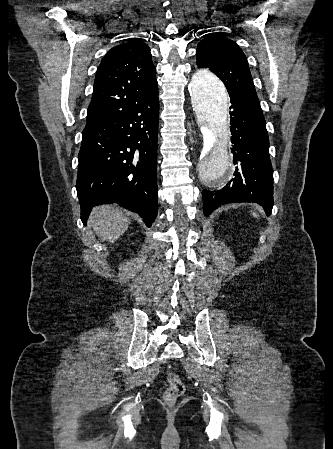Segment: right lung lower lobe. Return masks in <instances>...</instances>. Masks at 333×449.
Here are the masks:
<instances>
[{"label":"right lung lower lobe","instance_id":"1","mask_svg":"<svg viewBox=\"0 0 333 449\" xmlns=\"http://www.w3.org/2000/svg\"><path fill=\"white\" fill-rule=\"evenodd\" d=\"M158 120L157 90L122 112L86 124L76 183L84 224L92 207L116 202L151 226L158 211Z\"/></svg>","mask_w":333,"mask_h":449}]
</instances>
